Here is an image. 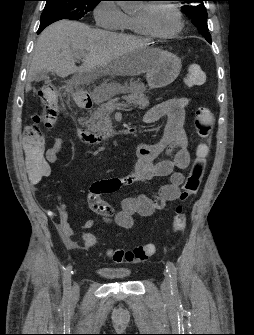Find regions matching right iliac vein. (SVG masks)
Wrapping results in <instances>:
<instances>
[{
	"instance_id": "1",
	"label": "right iliac vein",
	"mask_w": 254,
	"mask_h": 335,
	"mask_svg": "<svg viewBox=\"0 0 254 335\" xmlns=\"http://www.w3.org/2000/svg\"><path fill=\"white\" fill-rule=\"evenodd\" d=\"M79 295V287L77 284H74L72 288V296L77 297Z\"/></svg>"
}]
</instances>
